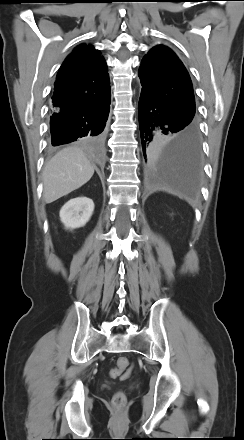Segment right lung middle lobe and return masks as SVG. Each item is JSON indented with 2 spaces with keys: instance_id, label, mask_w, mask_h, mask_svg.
Listing matches in <instances>:
<instances>
[{
  "instance_id": "1",
  "label": "right lung middle lobe",
  "mask_w": 244,
  "mask_h": 440,
  "mask_svg": "<svg viewBox=\"0 0 244 440\" xmlns=\"http://www.w3.org/2000/svg\"><path fill=\"white\" fill-rule=\"evenodd\" d=\"M101 140V137H87L86 139H84V141L87 142H98Z\"/></svg>"
}]
</instances>
